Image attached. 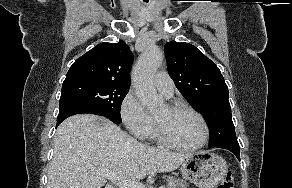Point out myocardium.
<instances>
[{
  "label": "myocardium",
  "mask_w": 292,
  "mask_h": 188,
  "mask_svg": "<svg viewBox=\"0 0 292 188\" xmlns=\"http://www.w3.org/2000/svg\"><path fill=\"white\" fill-rule=\"evenodd\" d=\"M167 108L171 112L187 111V112L194 114L201 121L204 132H203L202 139L197 144L191 145V146H185V145H181V144H178L175 141H173L166 134L163 126L157 120H155L156 136H157L158 140L163 145H165L169 148L181 150V151H195V150H198V149L204 147L207 144V142L209 141V138H210V127H209V124H208L205 116L200 111H198L197 109H195L187 104H183V103H173V104L168 105Z\"/></svg>",
  "instance_id": "1"
}]
</instances>
